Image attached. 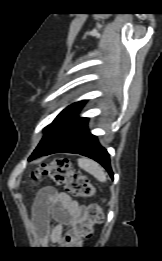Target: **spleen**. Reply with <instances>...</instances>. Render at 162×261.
Returning a JSON list of instances; mask_svg holds the SVG:
<instances>
[{
    "label": "spleen",
    "mask_w": 162,
    "mask_h": 261,
    "mask_svg": "<svg viewBox=\"0 0 162 261\" xmlns=\"http://www.w3.org/2000/svg\"><path fill=\"white\" fill-rule=\"evenodd\" d=\"M78 165L86 172L92 174L98 181L106 182V173L97 162L88 158H79Z\"/></svg>",
    "instance_id": "spleen-1"
}]
</instances>
